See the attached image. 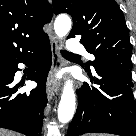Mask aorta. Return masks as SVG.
I'll return each mask as SVG.
<instances>
[{"mask_svg":"<svg viewBox=\"0 0 136 136\" xmlns=\"http://www.w3.org/2000/svg\"><path fill=\"white\" fill-rule=\"evenodd\" d=\"M54 30L58 37L66 36L71 30V19L68 15H59L54 23ZM76 99L72 81L67 80L58 107V120L61 123H68L75 112Z\"/></svg>","mask_w":136,"mask_h":136,"instance_id":"aorta-1","label":"aorta"}]
</instances>
